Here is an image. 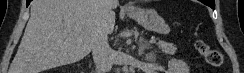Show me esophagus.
I'll return each instance as SVG.
<instances>
[{"label":"esophagus","mask_w":244,"mask_h":73,"mask_svg":"<svg viewBox=\"0 0 244 73\" xmlns=\"http://www.w3.org/2000/svg\"><path fill=\"white\" fill-rule=\"evenodd\" d=\"M126 9H133V5H131V4H127V5H126Z\"/></svg>","instance_id":"1"}]
</instances>
